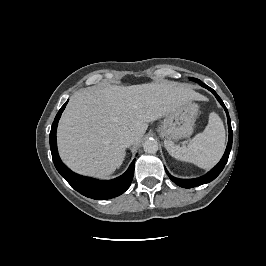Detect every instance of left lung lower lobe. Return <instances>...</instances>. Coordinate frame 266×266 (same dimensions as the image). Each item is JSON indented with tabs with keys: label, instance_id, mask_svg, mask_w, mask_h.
Listing matches in <instances>:
<instances>
[{
	"label": "left lung lower lobe",
	"instance_id": "obj_1",
	"mask_svg": "<svg viewBox=\"0 0 266 266\" xmlns=\"http://www.w3.org/2000/svg\"><path fill=\"white\" fill-rule=\"evenodd\" d=\"M197 83H199L201 86L207 88L208 90H210L215 97L217 98V100L219 101V103L224 107L226 114H227V119H228V129H229V140H228V144H227V148L225 150V153L222 157V159L220 160V162L213 168L211 169L207 174H205L204 176H201L199 178H195V179H178L173 177L172 175H170L168 173V171L166 170L167 175L169 176V178L176 183L177 185H179L180 187L183 188H192V187H196L205 183H209L212 180H214L223 170L225 164L227 163L228 157H229V153L231 151V147H232V140H233V133H232V128H231V120L227 111L226 106L224 105L223 101L221 100V98L217 95V93L210 87H208L206 84L202 83L200 80H196Z\"/></svg>",
	"mask_w": 266,
	"mask_h": 266
}]
</instances>
